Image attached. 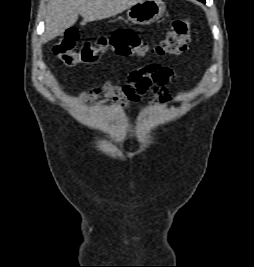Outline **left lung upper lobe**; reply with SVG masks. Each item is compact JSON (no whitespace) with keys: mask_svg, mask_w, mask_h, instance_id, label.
Listing matches in <instances>:
<instances>
[{"mask_svg":"<svg viewBox=\"0 0 254 267\" xmlns=\"http://www.w3.org/2000/svg\"><path fill=\"white\" fill-rule=\"evenodd\" d=\"M199 1H201V2H205V0H199Z\"/></svg>","mask_w":254,"mask_h":267,"instance_id":"obj_1","label":"left lung upper lobe"}]
</instances>
